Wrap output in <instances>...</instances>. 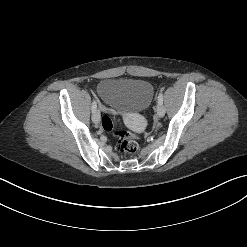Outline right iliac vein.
<instances>
[{
    "instance_id": "obj_1",
    "label": "right iliac vein",
    "mask_w": 247,
    "mask_h": 247,
    "mask_svg": "<svg viewBox=\"0 0 247 247\" xmlns=\"http://www.w3.org/2000/svg\"><path fill=\"white\" fill-rule=\"evenodd\" d=\"M100 112L96 110L92 115V120L94 123L98 124L100 122Z\"/></svg>"
}]
</instances>
